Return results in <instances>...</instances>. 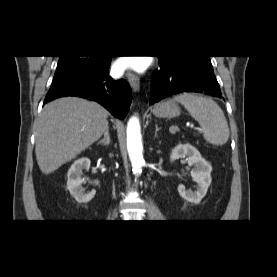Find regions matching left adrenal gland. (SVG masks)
Masks as SVG:
<instances>
[{
  "instance_id": "obj_1",
  "label": "left adrenal gland",
  "mask_w": 277,
  "mask_h": 277,
  "mask_svg": "<svg viewBox=\"0 0 277 277\" xmlns=\"http://www.w3.org/2000/svg\"><path fill=\"white\" fill-rule=\"evenodd\" d=\"M156 129H155V137H157V132L161 129L159 128L157 125H155Z\"/></svg>"
}]
</instances>
